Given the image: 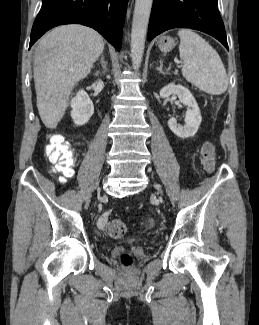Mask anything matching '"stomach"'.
<instances>
[{"instance_id": "stomach-1", "label": "stomach", "mask_w": 259, "mask_h": 325, "mask_svg": "<svg viewBox=\"0 0 259 325\" xmlns=\"http://www.w3.org/2000/svg\"><path fill=\"white\" fill-rule=\"evenodd\" d=\"M175 46V41L170 36H162L158 41V47L162 52H169Z\"/></svg>"}]
</instances>
